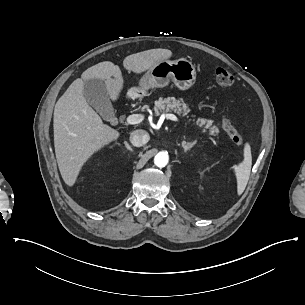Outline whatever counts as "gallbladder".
<instances>
[{
    "instance_id": "bac80fb5",
    "label": "gallbladder",
    "mask_w": 305,
    "mask_h": 305,
    "mask_svg": "<svg viewBox=\"0 0 305 305\" xmlns=\"http://www.w3.org/2000/svg\"><path fill=\"white\" fill-rule=\"evenodd\" d=\"M83 96L106 121L114 118V109L110 101L105 81L92 78L84 81Z\"/></svg>"
}]
</instances>
